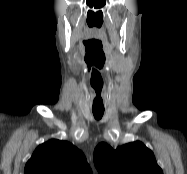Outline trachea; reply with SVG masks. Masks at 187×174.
I'll list each match as a JSON object with an SVG mask.
<instances>
[{"label": "trachea", "instance_id": "trachea-1", "mask_svg": "<svg viewBox=\"0 0 187 174\" xmlns=\"http://www.w3.org/2000/svg\"><path fill=\"white\" fill-rule=\"evenodd\" d=\"M93 115L95 117L96 120H100L104 114V108L103 109H96L93 108L92 109Z\"/></svg>", "mask_w": 187, "mask_h": 174}]
</instances>
